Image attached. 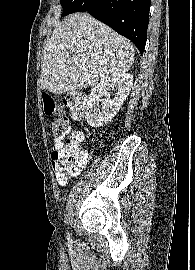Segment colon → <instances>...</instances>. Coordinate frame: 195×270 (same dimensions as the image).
I'll use <instances>...</instances> for the list:
<instances>
[{
    "label": "colon",
    "instance_id": "obj_1",
    "mask_svg": "<svg viewBox=\"0 0 195 270\" xmlns=\"http://www.w3.org/2000/svg\"><path fill=\"white\" fill-rule=\"evenodd\" d=\"M43 110L46 115L56 116L52 122V130L57 138H63L68 131L69 121L65 117L57 100L50 94L42 96ZM64 104L75 119L82 118L87 103L86 95L79 91H72L64 96ZM82 136L73 133L64 143L56 146L52 151V164L56 178L61 185L67 182L69 176L75 175L85 164L87 154L81 147Z\"/></svg>",
    "mask_w": 195,
    "mask_h": 270
}]
</instances>
